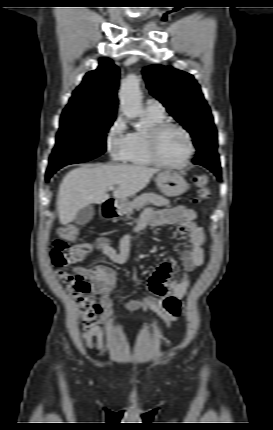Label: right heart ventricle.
Returning a JSON list of instances; mask_svg holds the SVG:
<instances>
[{
    "instance_id": "1",
    "label": "right heart ventricle",
    "mask_w": 273,
    "mask_h": 430,
    "mask_svg": "<svg viewBox=\"0 0 273 430\" xmlns=\"http://www.w3.org/2000/svg\"><path fill=\"white\" fill-rule=\"evenodd\" d=\"M145 118L153 127L164 121V115H158L149 111H146ZM148 132L149 131H135L132 133V148L127 158V162L137 167H149L154 165L150 158L148 149Z\"/></svg>"
}]
</instances>
